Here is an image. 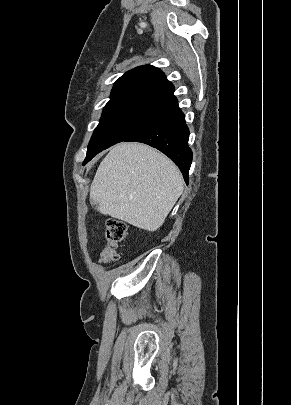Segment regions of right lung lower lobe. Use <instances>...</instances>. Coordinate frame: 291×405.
Instances as JSON below:
<instances>
[{"mask_svg": "<svg viewBox=\"0 0 291 405\" xmlns=\"http://www.w3.org/2000/svg\"><path fill=\"white\" fill-rule=\"evenodd\" d=\"M188 140L185 115L176 102L166 114L125 141L145 143L163 152L179 167L188 184L193 158Z\"/></svg>", "mask_w": 291, "mask_h": 405, "instance_id": "obj_1", "label": "right lung lower lobe"}]
</instances>
